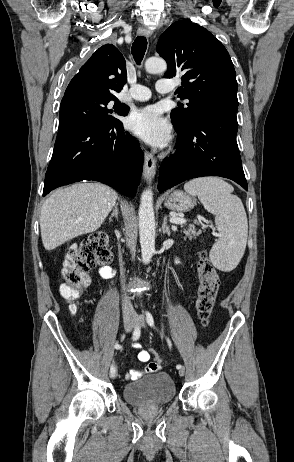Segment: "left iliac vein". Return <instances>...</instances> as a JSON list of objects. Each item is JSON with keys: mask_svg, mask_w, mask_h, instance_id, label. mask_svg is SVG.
I'll use <instances>...</instances> for the list:
<instances>
[{"mask_svg": "<svg viewBox=\"0 0 294 462\" xmlns=\"http://www.w3.org/2000/svg\"><path fill=\"white\" fill-rule=\"evenodd\" d=\"M134 324L138 325L140 327H145L144 317L142 315L135 314L134 315ZM184 374H185V369H184V367H182V368L179 369V375L184 376Z\"/></svg>", "mask_w": 294, "mask_h": 462, "instance_id": "left-iliac-vein-1", "label": "left iliac vein"}]
</instances>
